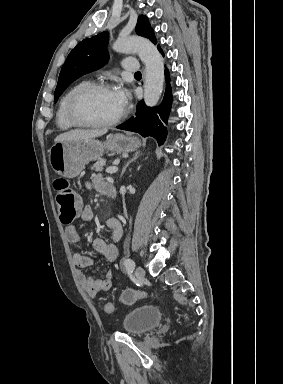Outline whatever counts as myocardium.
Returning <instances> with one entry per match:
<instances>
[{"mask_svg":"<svg viewBox=\"0 0 283 384\" xmlns=\"http://www.w3.org/2000/svg\"><path fill=\"white\" fill-rule=\"evenodd\" d=\"M98 90H111L110 85L106 83H88L81 88H79L70 98L66 115L68 121L71 123L72 126L75 128H81V129H107L110 127H113L116 125L123 117V111L121 110L120 113L113 118L110 121L103 122V123H84L80 121L76 115V107L78 102L86 96L89 93H92L94 91Z\"/></svg>","mask_w":283,"mask_h":384,"instance_id":"1","label":"myocardium"}]
</instances>
